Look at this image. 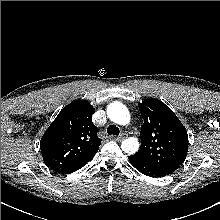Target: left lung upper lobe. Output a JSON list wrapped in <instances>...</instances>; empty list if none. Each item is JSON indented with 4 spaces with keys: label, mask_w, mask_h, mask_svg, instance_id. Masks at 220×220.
Masks as SVG:
<instances>
[{
    "label": "left lung upper lobe",
    "mask_w": 220,
    "mask_h": 220,
    "mask_svg": "<svg viewBox=\"0 0 220 220\" xmlns=\"http://www.w3.org/2000/svg\"><path fill=\"white\" fill-rule=\"evenodd\" d=\"M138 106L144 124L140 131L141 146L134 156L166 174L173 173L187 156L185 127L174 112L159 100L147 99Z\"/></svg>",
    "instance_id": "5c2ea615"
}]
</instances>
